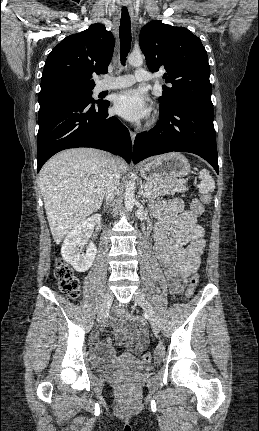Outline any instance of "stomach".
I'll list each match as a JSON object with an SVG mask.
<instances>
[{
	"mask_svg": "<svg viewBox=\"0 0 259 431\" xmlns=\"http://www.w3.org/2000/svg\"><path fill=\"white\" fill-rule=\"evenodd\" d=\"M140 172L146 181L151 179L174 180L188 175L190 164L183 154L172 152L157 156L152 161L144 163Z\"/></svg>",
	"mask_w": 259,
	"mask_h": 431,
	"instance_id": "1",
	"label": "stomach"
}]
</instances>
